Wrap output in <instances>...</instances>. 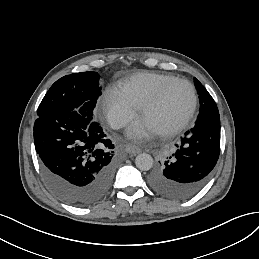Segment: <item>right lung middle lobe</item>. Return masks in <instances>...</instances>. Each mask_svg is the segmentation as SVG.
Returning <instances> with one entry per match:
<instances>
[{
	"label": "right lung middle lobe",
	"instance_id": "obj_1",
	"mask_svg": "<svg viewBox=\"0 0 259 259\" xmlns=\"http://www.w3.org/2000/svg\"><path fill=\"white\" fill-rule=\"evenodd\" d=\"M101 95L99 75L82 72L66 75L56 81L41 101L38 116L50 112L76 111L89 121H94V108Z\"/></svg>",
	"mask_w": 259,
	"mask_h": 259
}]
</instances>
